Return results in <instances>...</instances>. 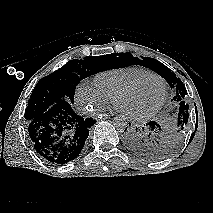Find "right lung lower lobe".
Instances as JSON below:
<instances>
[{"instance_id":"obj_1","label":"right lung lower lobe","mask_w":213,"mask_h":213,"mask_svg":"<svg viewBox=\"0 0 213 213\" xmlns=\"http://www.w3.org/2000/svg\"><path fill=\"white\" fill-rule=\"evenodd\" d=\"M96 123L84 119L72 103L61 100L27 123V130L36 152L52 164H65L77 158Z\"/></svg>"}]
</instances>
